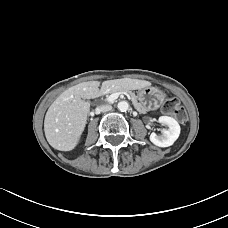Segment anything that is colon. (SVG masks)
<instances>
[{"instance_id": "colon-1", "label": "colon", "mask_w": 228, "mask_h": 228, "mask_svg": "<svg viewBox=\"0 0 228 228\" xmlns=\"http://www.w3.org/2000/svg\"><path fill=\"white\" fill-rule=\"evenodd\" d=\"M162 110L165 114L174 116L179 121L186 119V113L177 98H167L162 105Z\"/></svg>"}]
</instances>
